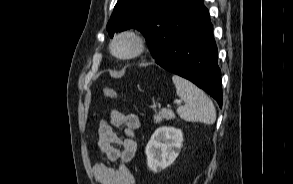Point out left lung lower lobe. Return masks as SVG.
<instances>
[{
  "mask_svg": "<svg viewBox=\"0 0 293 184\" xmlns=\"http://www.w3.org/2000/svg\"><path fill=\"white\" fill-rule=\"evenodd\" d=\"M155 62L206 91L222 106L221 71L208 9L202 0H183L172 12Z\"/></svg>",
  "mask_w": 293,
  "mask_h": 184,
  "instance_id": "1",
  "label": "left lung lower lobe"
}]
</instances>
